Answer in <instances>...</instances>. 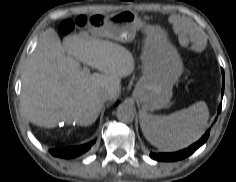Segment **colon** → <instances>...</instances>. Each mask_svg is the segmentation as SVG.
Wrapping results in <instances>:
<instances>
[{
	"mask_svg": "<svg viewBox=\"0 0 236 182\" xmlns=\"http://www.w3.org/2000/svg\"><path fill=\"white\" fill-rule=\"evenodd\" d=\"M103 23V17L101 15L78 16L75 19H68L60 24V31L63 34H69L75 29L84 28L87 26H100Z\"/></svg>",
	"mask_w": 236,
	"mask_h": 182,
	"instance_id": "5ec220e1",
	"label": "colon"
}]
</instances>
